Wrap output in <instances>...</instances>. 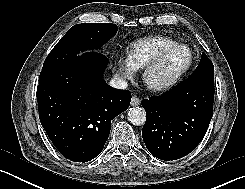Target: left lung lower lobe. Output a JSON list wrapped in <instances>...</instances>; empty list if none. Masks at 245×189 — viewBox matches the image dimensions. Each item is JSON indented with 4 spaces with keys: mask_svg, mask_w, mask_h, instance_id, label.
<instances>
[{
    "mask_svg": "<svg viewBox=\"0 0 245 189\" xmlns=\"http://www.w3.org/2000/svg\"><path fill=\"white\" fill-rule=\"evenodd\" d=\"M214 92L213 78L193 74L161 96L143 100L142 137L149 152L170 161L194 150L211 121Z\"/></svg>",
    "mask_w": 245,
    "mask_h": 189,
    "instance_id": "1",
    "label": "left lung lower lobe"
}]
</instances>
